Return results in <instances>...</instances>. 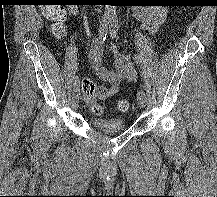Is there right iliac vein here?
Returning <instances> with one entry per match:
<instances>
[{"label":"right iliac vein","instance_id":"63e3f726","mask_svg":"<svg viewBox=\"0 0 217 197\" xmlns=\"http://www.w3.org/2000/svg\"><path fill=\"white\" fill-rule=\"evenodd\" d=\"M72 106H73L74 109L78 108V106H79V97L73 98Z\"/></svg>","mask_w":217,"mask_h":197}]
</instances>
